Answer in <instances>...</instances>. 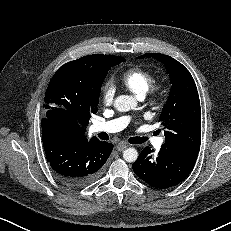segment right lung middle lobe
Here are the masks:
<instances>
[{"instance_id":"right-lung-middle-lobe-1","label":"right lung middle lobe","mask_w":231,"mask_h":231,"mask_svg":"<svg viewBox=\"0 0 231 231\" xmlns=\"http://www.w3.org/2000/svg\"><path fill=\"white\" fill-rule=\"evenodd\" d=\"M124 61L122 57L113 55L100 59L88 55L64 64L46 90V116L61 124L89 120L92 114L97 113L101 86L108 71Z\"/></svg>"}]
</instances>
